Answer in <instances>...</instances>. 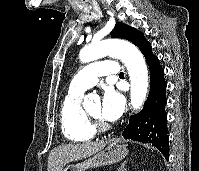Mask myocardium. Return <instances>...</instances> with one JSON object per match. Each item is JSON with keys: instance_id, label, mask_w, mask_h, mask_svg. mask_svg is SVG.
I'll list each match as a JSON object with an SVG mask.
<instances>
[{"instance_id": "f54148a6", "label": "myocardium", "mask_w": 199, "mask_h": 171, "mask_svg": "<svg viewBox=\"0 0 199 171\" xmlns=\"http://www.w3.org/2000/svg\"><path fill=\"white\" fill-rule=\"evenodd\" d=\"M86 113L94 130L105 131L110 128V126L103 122L101 118L91 114L89 111H86Z\"/></svg>"}]
</instances>
